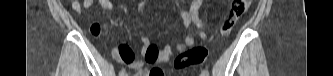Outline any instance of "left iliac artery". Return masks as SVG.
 Instances as JSON below:
<instances>
[{
	"mask_svg": "<svg viewBox=\"0 0 333 76\" xmlns=\"http://www.w3.org/2000/svg\"><path fill=\"white\" fill-rule=\"evenodd\" d=\"M201 75H202V76H208V75H209V72H208L207 70H203Z\"/></svg>",
	"mask_w": 333,
	"mask_h": 76,
	"instance_id": "1",
	"label": "left iliac artery"
}]
</instances>
